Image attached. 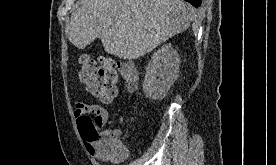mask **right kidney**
<instances>
[{
	"label": "right kidney",
	"mask_w": 276,
	"mask_h": 165,
	"mask_svg": "<svg viewBox=\"0 0 276 165\" xmlns=\"http://www.w3.org/2000/svg\"><path fill=\"white\" fill-rule=\"evenodd\" d=\"M180 57L171 44L155 52L146 67L143 91L152 100L163 99L178 77Z\"/></svg>",
	"instance_id": "right-kidney-1"
}]
</instances>
